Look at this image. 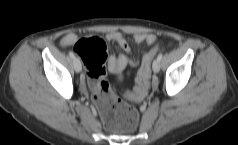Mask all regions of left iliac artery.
Wrapping results in <instances>:
<instances>
[{
    "instance_id": "1",
    "label": "left iliac artery",
    "mask_w": 238,
    "mask_h": 145,
    "mask_svg": "<svg viewBox=\"0 0 238 145\" xmlns=\"http://www.w3.org/2000/svg\"><path fill=\"white\" fill-rule=\"evenodd\" d=\"M162 57H163V54L160 53V54L157 56V60H158V61H161Z\"/></svg>"
}]
</instances>
